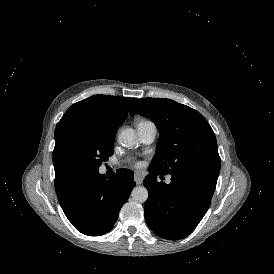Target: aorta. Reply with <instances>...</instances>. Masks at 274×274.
Masks as SVG:
<instances>
[{"instance_id": "762f6f07", "label": "aorta", "mask_w": 274, "mask_h": 274, "mask_svg": "<svg viewBox=\"0 0 274 274\" xmlns=\"http://www.w3.org/2000/svg\"><path fill=\"white\" fill-rule=\"evenodd\" d=\"M119 142L126 147H132L137 142V136L132 128H126L119 134ZM131 196L135 202L143 203L148 199L149 193L146 187L137 186L132 190Z\"/></svg>"}]
</instances>
